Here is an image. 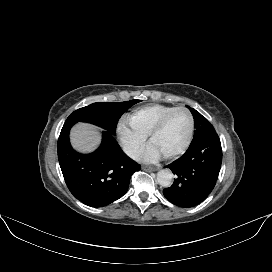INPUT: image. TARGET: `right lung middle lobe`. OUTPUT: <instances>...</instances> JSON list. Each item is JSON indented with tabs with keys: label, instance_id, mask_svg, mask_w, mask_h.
<instances>
[{
	"label": "right lung middle lobe",
	"instance_id": "1",
	"mask_svg": "<svg viewBox=\"0 0 272 272\" xmlns=\"http://www.w3.org/2000/svg\"><path fill=\"white\" fill-rule=\"evenodd\" d=\"M138 102L140 100L93 103L71 113L65 122H89L114 134L119 118Z\"/></svg>",
	"mask_w": 272,
	"mask_h": 272
}]
</instances>
